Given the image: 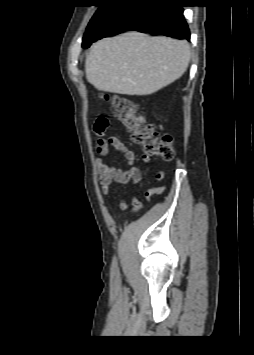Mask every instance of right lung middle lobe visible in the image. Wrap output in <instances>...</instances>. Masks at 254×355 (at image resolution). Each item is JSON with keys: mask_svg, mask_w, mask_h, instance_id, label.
<instances>
[{"mask_svg": "<svg viewBox=\"0 0 254 355\" xmlns=\"http://www.w3.org/2000/svg\"><path fill=\"white\" fill-rule=\"evenodd\" d=\"M118 5L119 4L115 3H105L99 7V9L92 17L90 23L88 24L83 37L84 42H91L96 37L102 26L105 24V22L108 20Z\"/></svg>", "mask_w": 254, "mask_h": 355, "instance_id": "dd1d6c3e", "label": "right lung middle lobe"}]
</instances>
